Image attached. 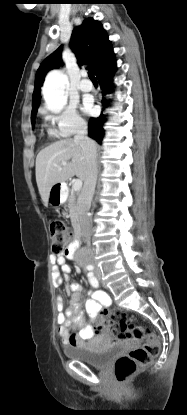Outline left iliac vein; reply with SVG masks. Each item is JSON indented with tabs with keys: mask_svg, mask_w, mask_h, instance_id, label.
<instances>
[{
	"mask_svg": "<svg viewBox=\"0 0 187 415\" xmlns=\"http://www.w3.org/2000/svg\"><path fill=\"white\" fill-rule=\"evenodd\" d=\"M94 274H95V276H96V278H97V280H101V272H100V269H98V268H95V270H94Z\"/></svg>",
	"mask_w": 187,
	"mask_h": 415,
	"instance_id": "left-iliac-vein-1",
	"label": "left iliac vein"
}]
</instances>
